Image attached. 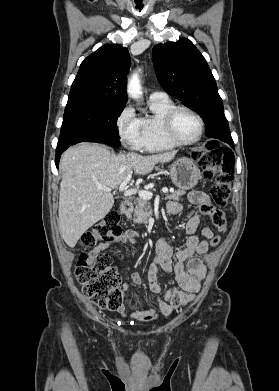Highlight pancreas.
I'll return each mask as SVG.
<instances>
[{
  "label": "pancreas",
  "mask_w": 279,
  "mask_h": 391,
  "mask_svg": "<svg viewBox=\"0 0 279 391\" xmlns=\"http://www.w3.org/2000/svg\"><path fill=\"white\" fill-rule=\"evenodd\" d=\"M185 194L184 191H173L172 193L167 195V199L169 200H174V201H179L181 199V196ZM152 215V210L150 203L147 200H144L142 198H139L137 200V205L134 209V217H133V222L134 223H144L147 224L148 219Z\"/></svg>",
  "instance_id": "cf45deb5"
}]
</instances>
